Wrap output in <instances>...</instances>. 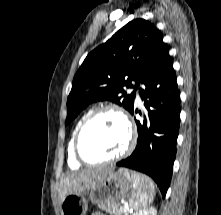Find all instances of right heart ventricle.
<instances>
[{"mask_svg":"<svg viewBox=\"0 0 221 215\" xmlns=\"http://www.w3.org/2000/svg\"><path fill=\"white\" fill-rule=\"evenodd\" d=\"M92 111L91 110H88L86 111L82 116L81 118L78 120V122L76 123L73 131H72V134H71V138H70V141L68 143V163L71 167L73 168H78L81 166V163L77 160V158L75 157V154H74V150H73V141H74V137H75V134L80 126V124L82 123V121L91 113Z\"/></svg>","mask_w":221,"mask_h":215,"instance_id":"right-heart-ventricle-1","label":"right heart ventricle"}]
</instances>
